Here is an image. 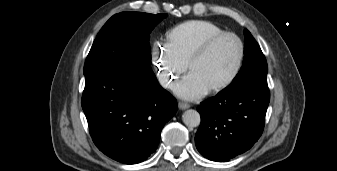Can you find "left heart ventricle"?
Wrapping results in <instances>:
<instances>
[{"label": "left heart ventricle", "mask_w": 337, "mask_h": 171, "mask_svg": "<svg viewBox=\"0 0 337 171\" xmlns=\"http://www.w3.org/2000/svg\"><path fill=\"white\" fill-rule=\"evenodd\" d=\"M238 54L237 42L233 38H224L193 64L191 72L210 88L229 76Z\"/></svg>", "instance_id": "left-heart-ventricle-1"}]
</instances>
